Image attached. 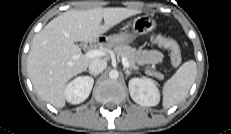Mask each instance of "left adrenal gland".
<instances>
[{"mask_svg":"<svg viewBox=\"0 0 231 134\" xmlns=\"http://www.w3.org/2000/svg\"><path fill=\"white\" fill-rule=\"evenodd\" d=\"M124 71H125V74L126 76L128 77L130 74H132V71L131 70H128L126 68H124Z\"/></svg>","mask_w":231,"mask_h":134,"instance_id":"1","label":"left adrenal gland"}]
</instances>
